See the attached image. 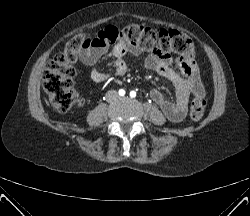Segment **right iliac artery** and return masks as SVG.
I'll return each mask as SVG.
<instances>
[{
	"instance_id": "82829eb1",
	"label": "right iliac artery",
	"mask_w": 250,
	"mask_h": 216,
	"mask_svg": "<svg viewBox=\"0 0 250 216\" xmlns=\"http://www.w3.org/2000/svg\"><path fill=\"white\" fill-rule=\"evenodd\" d=\"M118 93L120 96H124L126 92L124 89H120Z\"/></svg>"
}]
</instances>
